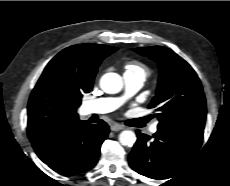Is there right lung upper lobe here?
Here are the masks:
<instances>
[{
	"label": "right lung upper lobe",
	"mask_w": 230,
	"mask_h": 186,
	"mask_svg": "<svg viewBox=\"0 0 230 186\" xmlns=\"http://www.w3.org/2000/svg\"><path fill=\"white\" fill-rule=\"evenodd\" d=\"M116 50L100 44L73 45L48 63L28 103L31 142L41 141L52 132L81 121L76 110L82 94L92 89L101 61Z\"/></svg>",
	"instance_id": "1"
}]
</instances>
